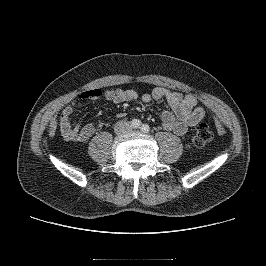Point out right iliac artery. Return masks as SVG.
Listing matches in <instances>:
<instances>
[{"label":"right iliac artery","mask_w":266,"mask_h":266,"mask_svg":"<svg viewBox=\"0 0 266 266\" xmlns=\"http://www.w3.org/2000/svg\"><path fill=\"white\" fill-rule=\"evenodd\" d=\"M131 126H132L133 128H139V127L141 126V121L138 120V119H133V120L131 121Z\"/></svg>","instance_id":"right-iliac-artery-1"}]
</instances>
